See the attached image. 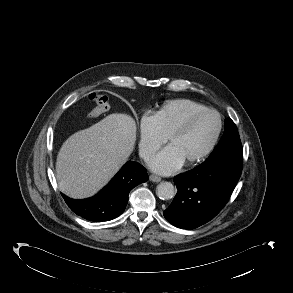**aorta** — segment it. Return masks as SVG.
<instances>
[{"label":"aorta","instance_id":"762f6f07","mask_svg":"<svg viewBox=\"0 0 293 293\" xmlns=\"http://www.w3.org/2000/svg\"><path fill=\"white\" fill-rule=\"evenodd\" d=\"M156 194L162 200H169L174 197L175 188L170 182H161L157 185Z\"/></svg>","mask_w":293,"mask_h":293}]
</instances>
